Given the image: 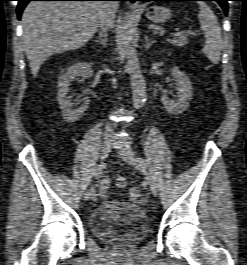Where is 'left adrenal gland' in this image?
<instances>
[{
  "label": "left adrenal gland",
  "instance_id": "left-adrenal-gland-1",
  "mask_svg": "<svg viewBox=\"0 0 247 265\" xmlns=\"http://www.w3.org/2000/svg\"><path fill=\"white\" fill-rule=\"evenodd\" d=\"M155 41H151L149 40V37L147 35H145V50L147 51L149 48H151V46L153 45Z\"/></svg>",
  "mask_w": 247,
  "mask_h": 265
}]
</instances>
